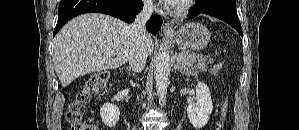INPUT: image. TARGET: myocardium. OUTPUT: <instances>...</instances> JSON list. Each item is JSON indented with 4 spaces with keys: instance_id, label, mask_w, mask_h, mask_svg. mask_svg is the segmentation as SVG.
<instances>
[{
    "instance_id": "obj_1",
    "label": "myocardium",
    "mask_w": 299,
    "mask_h": 130,
    "mask_svg": "<svg viewBox=\"0 0 299 130\" xmlns=\"http://www.w3.org/2000/svg\"><path fill=\"white\" fill-rule=\"evenodd\" d=\"M193 3V0L180 1L174 5L172 12L176 17H183L189 12Z\"/></svg>"
}]
</instances>
